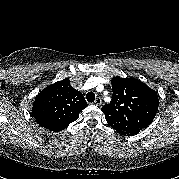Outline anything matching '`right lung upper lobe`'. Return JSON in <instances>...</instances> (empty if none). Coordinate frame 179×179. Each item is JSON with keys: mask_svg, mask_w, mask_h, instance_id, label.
<instances>
[{"mask_svg": "<svg viewBox=\"0 0 179 179\" xmlns=\"http://www.w3.org/2000/svg\"><path fill=\"white\" fill-rule=\"evenodd\" d=\"M87 106L82 93L70 85L69 79H64L44 88L36 96L32 115L41 127L59 132L77 120Z\"/></svg>", "mask_w": 179, "mask_h": 179, "instance_id": "cb5924a9", "label": "right lung upper lobe"}]
</instances>
